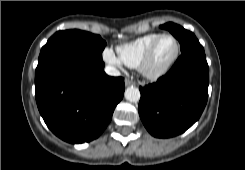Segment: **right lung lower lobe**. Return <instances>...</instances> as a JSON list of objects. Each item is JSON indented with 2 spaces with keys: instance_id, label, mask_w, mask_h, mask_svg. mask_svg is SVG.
Returning <instances> with one entry per match:
<instances>
[{
  "instance_id": "right-lung-lower-lobe-1",
  "label": "right lung lower lobe",
  "mask_w": 245,
  "mask_h": 170,
  "mask_svg": "<svg viewBox=\"0 0 245 170\" xmlns=\"http://www.w3.org/2000/svg\"><path fill=\"white\" fill-rule=\"evenodd\" d=\"M124 79L104 72L102 59L68 56L35 75V97L48 128L79 144L98 138L124 94Z\"/></svg>"
}]
</instances>
